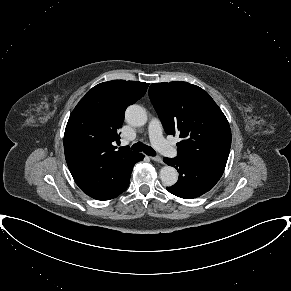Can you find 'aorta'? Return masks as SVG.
I'll use <instances>...</instances> for the list:
<instances>
[{"label":"aorta","instance_id":"1","mask_svg":"<svg viewBox=\"0 0 291 291\" xmlns=\"http://www.w3.org/2000/svg\"><path fill=\"white\" fill-rule=\"evenodd\" d=\"M126 121L132 126L140 127L147 122L146 110L140 105L133 104L130 105L125 112ZM160 179L166 186L174 185L178 180V172L172 166H164L160 169L159 173Z\"/></svg>","mask_w":291,"mask_h":291}]
</instances>
